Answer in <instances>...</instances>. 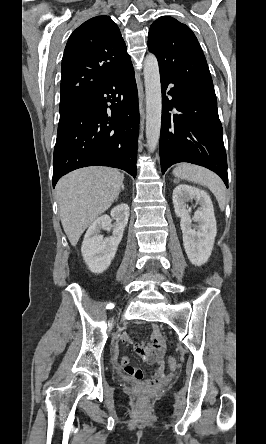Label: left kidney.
Masks as SVG:
<instances>
[{
  "label": "left kidney",
  "instance_id": "obj_1",
  "mask_svg": "<svg viewBox=\"0 0 266 444\" xmlns=\"http://www.w3.org/2000/svg\"><path fill=\"white\" fill-rule=\"evenodd\" d=\"M175 214L181 218L183 244L188 259L195 266L206 263L212 253L217 234L216 219L210 196L199 188L181 184L173 190ZM196 200L200 208L191 218L187 202ZM192 221L198 225H192Z\"/></svg>",
  "mask_w": 266,
  "mask_h": 444
}]
</instances>
